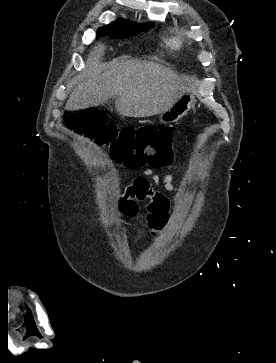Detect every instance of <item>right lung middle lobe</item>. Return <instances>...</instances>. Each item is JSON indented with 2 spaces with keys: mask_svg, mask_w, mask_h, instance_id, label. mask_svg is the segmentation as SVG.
Masks as SVG:
<instances>
[{
  "mask_svg": "<svg viewBox=\"0 0 276 363\" xmlns=\"http://www.w3.org/2000/svg\"><path fill=\"white\" fill-rule=\"evenodd\" d=\"M153 23L130 25L123 19L98 29V36H110L112 38L131 37L138 32L151 28Z\"/></svg>",
  "mask_w": 276,
  "mask_h": 363,
  "instance_id": "dd1d6c3e",
  "label": "right lung middle lobe"
}]
</instances>
